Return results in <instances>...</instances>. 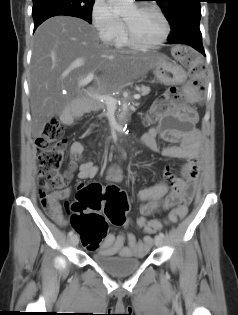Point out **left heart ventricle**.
Segmentation results:
<instances>
[{
    "label": "left heart ventricle",
    "mask_w": 238,
    "mask_h": 315,
    "mask_svg": "<svg viewBox=\"0 0 238 315\" xmlns=\"http://www.w3.org/2000/svg\"><path fill=\"white\" fill-rule=\"evenodd\" d=\"M136 39L143 43H154L164 33V25L160 17L149 10L138 11L132 6L124 15Z\"/></svg>",
    "instance_id": "1"
}]
</instances>
